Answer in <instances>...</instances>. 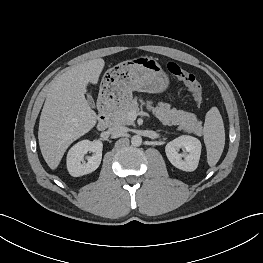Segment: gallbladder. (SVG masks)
Wrapping results in <instances>:
<instances>
[{"mask_svg": "<svg viewBox=\"0 0 263 263\" xmlns=\"http://www.w3.org/2000/svg\"><path fill=\"white\" fill-rule=\"evenodd\" d=\"M87 99H88V103L91 106H94V100H93V98H92V96L90 94H87Z\"/></svg>", "mask_w": 263, "mask_h": 263, "instance_id": "gallbladder-1", "label": "gallbladder"}]
</instances>
